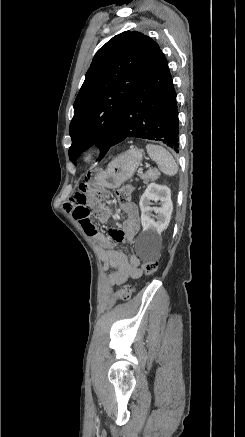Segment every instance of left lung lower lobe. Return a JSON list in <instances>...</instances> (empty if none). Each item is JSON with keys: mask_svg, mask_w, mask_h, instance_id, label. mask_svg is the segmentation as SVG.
Listing matches in <instances>:
<instances>
[{"mask_svg": "<svg viewBox=\"0 0 245 437\" xmlns=\"http://www.w3.org/2000/svg\"><path fill=\"white\" fill-rule=\"evenodd\" d=\"M178 135L176 92L159 48L125 104L111 146L136 137L163 142L178 152Z\"/></svg>", "mask_w": 245, "mask_h": 437, "instance_id": "1", "label": "left lung lower lobe"}]
</instances>
